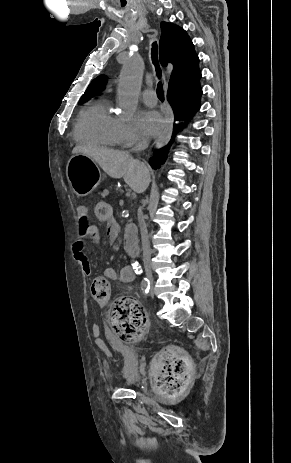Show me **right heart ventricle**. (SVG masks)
Listing matches in <instances>:
<instances>
[{"label": "right heart ventricle", "instance_id": "e07e8e85", "mask_svg": "<svg viewBox=\"0 0 291 463\" xmlns=\"http://www.w3.org/2000/svg\"><path fill=\"white\" fill-rule=\"evenodd\" d=\"M120 127V120L102 100L80 112L74 126V138L81 144L114 147L121 143Z\"/></svg>", "mask_w": 291, "mask_h": 463}]
</instances>
